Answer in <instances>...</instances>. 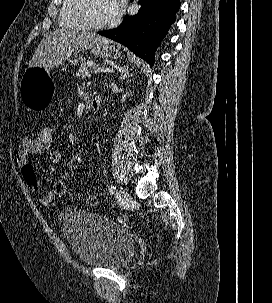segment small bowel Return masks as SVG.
<instances>
[{
	"label": "small bowel",
	"instance_id": "1",
	"mask_svg": "<svg viewBox=\"0 0 272 303\" xmlns=\"http://www.w3.org/2000/svg\"><path fill=\"white\" fill-rule=\"evenodd\" d=\"M37 154L46 155L49 162L53 164H57L61 160V153L57 149L42 145L37 138L25 137L17 150L16 161L19 166L23 167L27 164L30 157ZM55 196L53 189L49 190L41 196L40 203L43 206H48L52 203Z\"/></svg>",
	"mask_w": 272,
	"mask_h": 303
}]
</instances>
